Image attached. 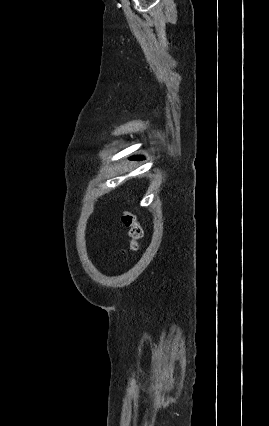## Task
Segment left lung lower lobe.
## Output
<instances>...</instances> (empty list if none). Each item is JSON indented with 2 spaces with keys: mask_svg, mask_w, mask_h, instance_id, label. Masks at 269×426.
<instances>
[{
  "mask_svg": "<svg viewBox=\"0 0 269 426\" xmlns=\"http://www.w3.org/2000/svg\"><path fill=\"white\" fill-rule=\"evenodd\" d=\"M130 159H132V160H135V159L142 160L144 158L142 156H134V157H131Z\"/></svg>",
  "mask_w": 269,
  "mask_h": 426,
  "instance_id": "0a47b994",
  "label": "left lung lower lobe"
}]
</instances>
